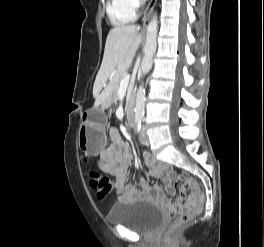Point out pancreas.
Returning a JSON list of instances; mask_svg holds the SVG:
<instances>
[{"label": "pancreas", "mask_w": 264, "mask_h": 247, "mask_svg": "<svg viewBox=\"0 0 264 247\" xmlns=\"http://www.w3.org/2000/svg\"><path fill=\"white\" fill-rule=\"evenodd\" d=\"M118 89H119V84L117 83V85L113 89V97L109 98L106 101V104H111L116 100Z\"/></svg>", "instance_id": "cf45deb5"}]
</instances>
